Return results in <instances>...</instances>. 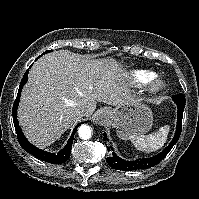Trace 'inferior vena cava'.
Here are the masks:
<instances>
[{
	"label": "inferior vena cava",
	"mask_w": 199,
	"mask_h": 199,
	"mask_svg": "<svg viewBox=\"0 0 199 199\" xmlns=\"http://www.w3.org/2000/svg\"><path fill=\"white\" fill-rule=\"evenodd\" d=\"M86 111H87V109L84 106H80V107L77 108V113L80 116H83L86 113Z\"/></svg>",
	"instance_id": "1"
}]
</instances>
